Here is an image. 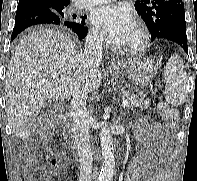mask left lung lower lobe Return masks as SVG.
Returning <instances> with one entry per match:
<instances>
[{
  "label": "left lung lower lobe",
  "instance_id": "1",
  "mask_svg": "<svg viewBox=\"0 0 197 181\" xmlns=\"http://www.w3.org/2000/svg\"><path fill=\"white\" fill-rule=\"evenodd\" d=\"M161 38L176 42L185 50L186 53H188L186 24H177L165 29L161 34Z\"/></svg>",
  "mask_w": 197,
  "mask_h": 181
}]
</instances>
